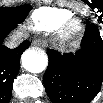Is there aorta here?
I'll return each instance as SVG.
<instances>
[{
	"instance_id": "762f6f07",
	"label": "aorta",
	"mask_w": 103,
	"mask_h": 103,
	"mask_svg": "<svg viewBox=\"0 0 103 103\" xmlns=\"http://www.w3.org/2000/svg\"><path fill=\"white\" fill-rule=\"evenodd\" d=\"M47 63L48 58L42 52L27 50L22 55V65L31 73H40L44 71Z\"/></svg>"
}]
</instances>
